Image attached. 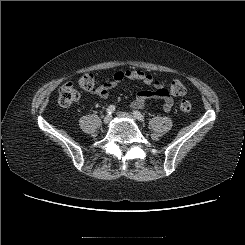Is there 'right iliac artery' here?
<instances>
[{"label":"right iliac artery","mask_w":245,"mask_h":245,"mask_svg":"<svg viewBox=\"0 0 245 245\" xmlns=\"http://www.w3.org/2000/svg\"><path fill=\"white\" fill-rule=\"evenodd\" d=\"M114 111H115V106H114V105H110V106L107 108V110H106V112H107L109 115L112 114Z\"/></svg>","instance_id":"82829eb1"}]
</instances>
